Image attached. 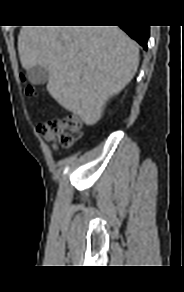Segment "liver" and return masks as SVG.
<instances>
[{
  "mask_svg": "<svg viewBox=\"0 0 184 292\" xmlns=\"http://www.w3.org/2000/svg\"><path fill=\"white\" fill-rule=\"evenodd\" d=\"M21 65L47 68V91L86 125H94L106 102L134 77L136 43L118 26H23Z\"/></svg>",
  "mask_w": 184,
  "mask_h": 292,
  "instance_id": "liver-1",
  "label": "liver"
}]
</instances>
